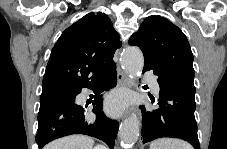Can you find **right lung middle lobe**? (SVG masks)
Returning <instances> with one entry per match:
<instances>
[{
    "mask_svg": "<svg viewBox=\"0 0 227 149\" xmlns=\"http://www.w3.org/2000/svg\"><path fill=\"white\" fill-rule=\"evenodd\" d=\"M75 88L76 87L59 85L42 89L39 111L46 109L48 106L58 101L73 100Z\"/></svg>",
    "mask_w": 227,
    "mask_h": 149,
    "instance_id": "1",
    "label": "right lung middle lobe"
}]
</instances>
